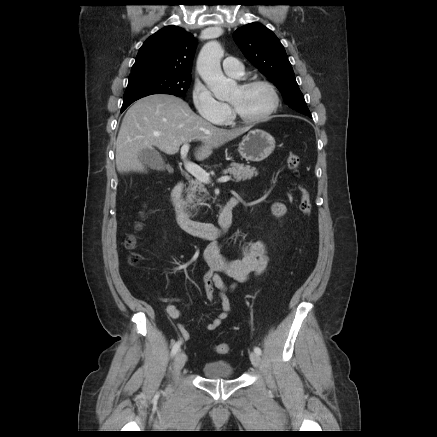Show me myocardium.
<instances>
[{"mask_svg":"<svg viewBox=\"0 0 437 437\" xmlns=\"http://www.w3.org/2000/svg\"><path fill=\"white\" fill-rule=\"evenodd\" d=\"M254 86H263L265 88H267L272 96V102L270 107L267 109V111H265L263 114L257 116V117H245L242 116L234 107V105L232 103L230 104V108H231V114H232V118L240 123H244V124H257V123H261L265 120H267L278 108L279 106V95L278 92L275 88V86L270 83L267 80H263V79H252V80H247L243 83L240 84V87L243 89L246 88H250V87H254Z\"/></svg>","mask_w":437,"mask_h":437,"instance_id":"myocardium-1","label":"myocardium"}]
</instances>
